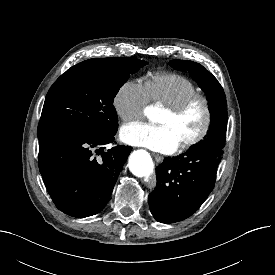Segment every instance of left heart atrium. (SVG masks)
<instances>
[{"label": "left heart atrium", "mask_w": 275, "mask_h": 275, "mask_svg": "<svg viewBox=\"0 0 275 275\" xmlns=\"http://www.w3.org/2000/svg\"><path fill=\"white\" fill-rule=\"evenodd\" d=\"M120 136L128 144L144 146L164 153H171L179 146L172 130L161 124L131 123L121 128Z\"/></svg>", "instance_id": "left-heart-atrium-1"}]
</instances>
